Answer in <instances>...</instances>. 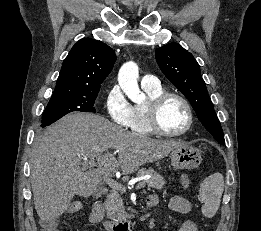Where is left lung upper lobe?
<instances>
[{
    "mask_svg": "<svg viewBox=\"0 0 261 231\" xmlns=\"http://www.w3.org/2000/svg\"><path fill=\"white\" fill-rule=\"evenodd\" d=\"M155 57L164 75L185 95L197 117L213 137L225 144L220 121L214 111L200 66L193 55L178 43L156 50Z\"/></svg>",
    "mask_w": 261,
    "mask_h": 231,
    "instance_id": "5c2ea615",
    "label": "left lung upper lobe"
}]
</instances>
